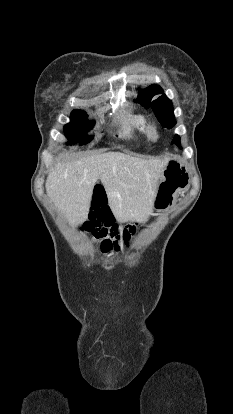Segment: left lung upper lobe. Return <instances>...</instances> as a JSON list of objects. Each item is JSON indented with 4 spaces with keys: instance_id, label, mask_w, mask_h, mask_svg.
Here are the masks:
<instances>
[{
    "instance_id": "left-lung-upper-lobe-1",
    "label": "left lung upper lobe",
    "mask_w": 233,
    "mask_h": 414,
    "mask_svg": "<svg viewBox=\"0 0 233 414\" xmlns=\"http://www.w3.org/2000/svg\"><path fill=\"white\" fill-rule=\"evenodd\" d=\"M161 93H163V90L159 85H151L140 92L135 102L140 103L145 108L151 107L161 125L167 129H171L176 124L172 102L165 94L156 100H152L154 96Z\"/></svg>"
}]
</instances>
